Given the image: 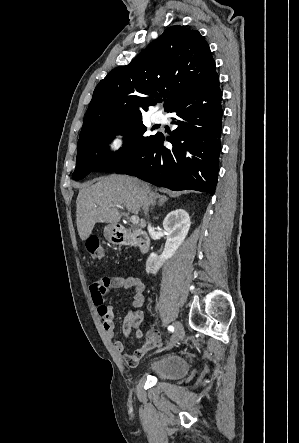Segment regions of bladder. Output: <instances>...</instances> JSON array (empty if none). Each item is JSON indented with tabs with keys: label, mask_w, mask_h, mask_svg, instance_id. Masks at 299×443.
<instances>
[{
	"label": "bladder",
	"mask_w": 299,
	"mask_h": 443,
	"mask_svg": "<svg viewBox=\"0 0 299 443\" xmlns=\"http://www.w3.org/2000/svg\"><path fill=\"white\" fill-rule=\"evenodd\" d=\"M189 363L181 355H167L152 360L146 373L160 380H177L187 374Z\"/></svg>",
	"instance_id": "obj_1"
}]
</instances>
